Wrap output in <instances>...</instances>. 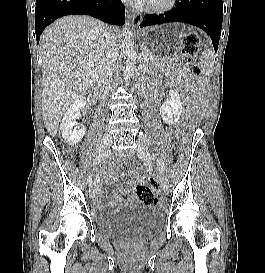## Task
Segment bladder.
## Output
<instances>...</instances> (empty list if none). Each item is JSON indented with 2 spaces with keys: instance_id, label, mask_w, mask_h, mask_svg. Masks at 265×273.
<instances>
[{
  "instance_id": "31cf9c89",
  "label": "bladder",
  "mask_w": 265,
  "mask_h": 273,
  "mask_svg": "<svg viewBox=\"0 0 265 273\" xmlns=\"http://www.w3.org/2000/svg\"><path fill=\"white\" fill-rule=\"evenodd\" d=\"M96 222L99 231L111 237L130 232L154 234L162 227L161 213L153 206L127 207L118 212L97 216Z\"/></svg>"
}]
</instances>
